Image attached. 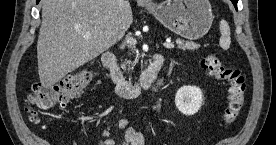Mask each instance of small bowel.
<instances>
[{"label":"small bowel","mask_w":276,"mask_h":145,"mask_svg":"<svg viewBox=\"0 0 276 145\" xmlns=\"http://www.w3.org/2000/svg\"><path fill=\"white\" fill-rule=\"evenodd\" d=\"M110 128H120V129L126 128L125 137L118 145H144L145 144V139L143 134L132 127H128L127 121L125 119H122L117 123L111 125L108 129L103 131L100 145H117L116 142L109 137Z\"/></svg>","instance_id":"1"}]
</instances>
